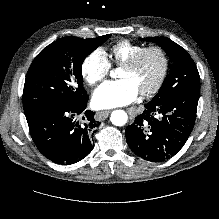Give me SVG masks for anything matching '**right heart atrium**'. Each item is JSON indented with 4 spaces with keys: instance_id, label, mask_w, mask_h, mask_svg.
<instances>
[{
    "instance_id": "right-heart-atrium-1",
    "label": "right heart atrium",
    "mask_w": 219,
    "mask_h": 219,
    "mask_svg": "<svg viewBox=\"0 0 219 219\" xmlns=\"http://www.w3.org/2000/svg\"><path fill=\"white\" fill-rule=\"evenodd\" d=\"M110 62L102 49L92 51L83 61L82 75L89 85L102 82L110 72Z\"/></svg>"
}]
</instances>
